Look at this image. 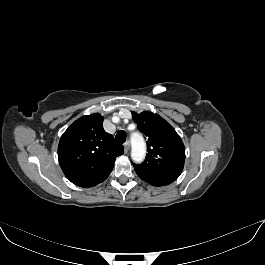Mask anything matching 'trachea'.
I'll list each match as a JSON object with an SVG mask.
<instances>
[{
	"label": "trachea",
	"instance_id": "obj_1",
	"mask_svg": "<svg viewBox=\"0 0 265 265\" xmlns=\"http://www.w3.org/2000/svg\"><path fill=\"white\" fill-rule=\"evenodd\" d=\"M116 140L119 143H124L126 141V133L123 130H120L117 134H116Z\"/></svg>",
	"mask_w": 265,
	"mask_h": 265
}]
</instances>
